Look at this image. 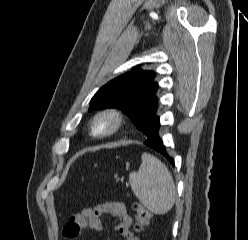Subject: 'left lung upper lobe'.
Returning a JSON list of instances; mask_svg holds the SVG:
<instances>
[{
  "label": "left lung upper lobe",
  "instance_id": "obj_1",
  "mask_svg": "<svg viewBox=\"0 0 248 240\" xmlns=\"http://www.w3.org/2000/svg\"><path fill=\"white\" fill-rule=\"evenodd\" d=\"M154 77V72L137 68L111 80L93 96L89 111L118 108L146 135L158 108Z\"/></svg>",
  "mask_w": 248,
  "mask_h": 240
}]
</instances>
